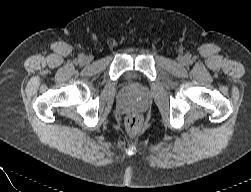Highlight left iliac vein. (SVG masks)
I'll return each instance as SVG.
<instances>
[{
  "label": "left iliac vein",
  "mask_w": 251,
  "mask_h": 192,
  "mask_svg": "<svg viewBox=\"0 0 251 192\" xmlns=\"http://www.w3.org/2000/svg\"><path fill=\"white\" fill-rule=\"evenodd\" d=\"M178 60L182 64H184L186 62V59L184 57H180Z\"/></svg>",
  "instance_id": "4c4485c4"
}]
</instances>
